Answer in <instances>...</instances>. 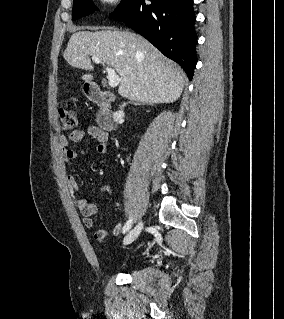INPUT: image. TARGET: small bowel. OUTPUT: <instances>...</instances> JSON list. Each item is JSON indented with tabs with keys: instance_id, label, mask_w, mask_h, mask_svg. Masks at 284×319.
<instances>
[{
	"instance_id": "1",
	"label": "small bowel",
	"mask_w": 284,
	"mask_h": 319,
	"mask_svg": "<svg viewBox=\"0 0 284 319\" xmlns=\"http://www.w3.org/2000/svg\"><path fill=\"white\" fill-rule=\"evenodd\" d=\"M87 133L90 137L96 140V151L97 153L104 155L107 151V140L108 135L106 132L101 130L100 128L96 126H90L87 129ZM85 136V132L81 129L75 130L68 134L67 136H62L60 138V144L63 147V159L65 162H69L71 160H74L77 158V152L71 148H68V144L70 142H80ZM67 183L69 188L73 192H77L79 190V184L76 181V179L73 176H69L67 179ZM102 192H111V188L109 187H103ZM117 206H119V203H116ZM77 207L83 217V223L86 228H92L94 226V219L93 216L97 213L98 210V203L97 202H90L86 198H79L77 200ZM122 230V224L117 223L115 226H113L110 230L111 234L117 235ZM109 233V230L107 229H98L94 232V238L97 241H102Z\"/></svg>"
}]
</instances>
